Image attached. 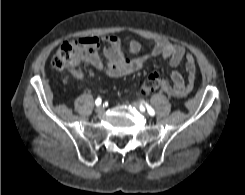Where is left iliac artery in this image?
Listing matches in <instances>:
<instances>
[{
  "label": "left iliac artery",
  "instance_id": "44dca946",
  "mask_svg": "<svg viewBox=\"0 0 245 195\" xmlns=\"http://www.w3.org/2000/svg\"><path fill=\"white\" fill-rule=\"evenodd\" d=\"M146 107H147V111H148L149 115L154 116L155 115L154 109L151 106H149L148 104H146ZM141 109H144V108L141 107Z\"/></svg>",
  "mask_w": 245,
  "mask_h": 195
}]
</instances>
